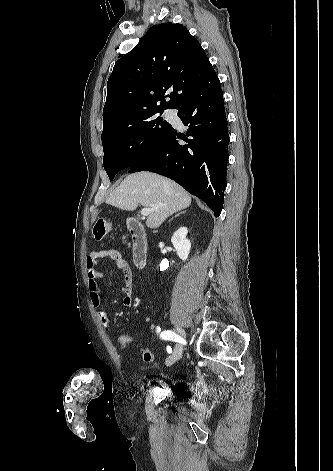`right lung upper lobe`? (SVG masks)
<instances>
[{
  "label": "right lung upper lobe",
  "mask_w": 333,
  "mask_h": 471,
  "mask_svg": "<svg viewBox=\"0 0 333 471\" xmlns=\"http://www.w3.org/2000/svg\"><path fill=\"white\" fill-rule=\"evenodd\" d=\"M215 71L201 45L181 24L163 23L119 59L107 83L103 131L152 109H175ZM165 97H170L166 102ZM161 104L157 106V102Z\"/></svg>",
  "instance_id": "right-lung-upper-lobe-1"
}]
</instances>
